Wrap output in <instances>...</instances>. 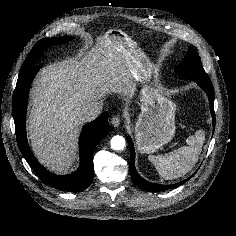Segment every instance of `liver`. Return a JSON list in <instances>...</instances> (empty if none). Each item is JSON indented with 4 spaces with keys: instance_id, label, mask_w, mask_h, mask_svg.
<instances>
[{
    "instance_id": "obj_1",
    "label": "liver",
    "mask_w": 236,
    "mask_h": 236,
    "mask_svg": "<svg viewBox=\"0 0 236 236\" xmlns=\"http://www.w3.org/2000/svg\"><path fill=\"white\" fill-rule=\"evenodd\" d=\"M133 77L120 51L99 36L90 52L42 68L31 92L28 132L38 160L55 173L75 161L82 109L107 94L130 96Z\"/></svg>"
}]
</instances>
